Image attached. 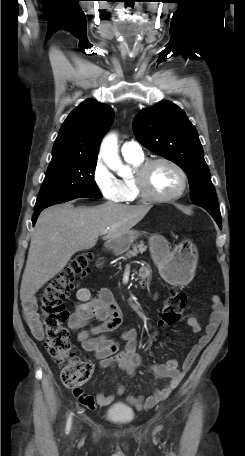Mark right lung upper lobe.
I'll use <instances>...</instances> for the list:
<instances>
[{
    "instance_id": "cb5924a9",
    "label": "right lung upper lobe",
    "mask_w": 245,
    "mask_h": 456,
    "mask_svg": "<svg viewBox=\"0 0 245 456\" xmlns=\"http://www.w3.org/2000/svg\"><path fill=\"white\" fill-rule=\"evenodd\" d=\"M113 109L94 99L75 108L63 123L55 140L50 163L69 158L98 157L99 144L109 129Z\"/></svg>"
}]
</instances>
